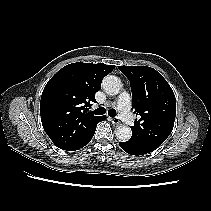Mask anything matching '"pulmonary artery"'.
I'll use <instances>...</instances> for the list:
<instances>
[{
	"label": "pulmonary artery",
	"mask_w": 211,
	"mask_h": 211,
	"mask_svg": "<svg viewBox=\"0 0 211 211\" xmlns=\"http://www.w3.org/2000/svg\"><path fill=\"white\" fill-rule=\"evenodd\" d=\"M117 108L120 118L127 124L133 125L135 123L134 117L130 112V95L126 92L118 96Z\"/></svg>",
	"instance_id": "pulmonary-artery-1"
}]
</instances>
